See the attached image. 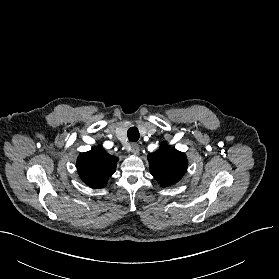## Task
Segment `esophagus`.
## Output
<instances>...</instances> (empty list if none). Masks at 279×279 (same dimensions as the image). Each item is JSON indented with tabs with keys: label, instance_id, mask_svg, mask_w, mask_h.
Here are the masks:
<instances>
[{
	"label": "esophagus",
	"instance_id": "obj_1",
	"mask_svg": "<svg viewBox=\"0 0 279 279\" xmlns=\"http://www.w3.org/2000/svg\"><path fill=\"white\" fill-rule=\"evenodd\" d=\"M131 152L135 155H138L140 153V145L137 143L131 144Z\"/></svg>",
	"mask_w": 279,
	"mask_h": 279
}]
</instances>
